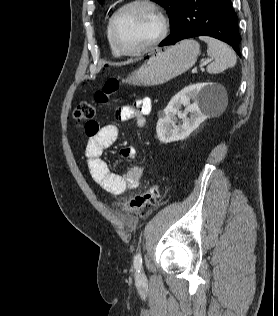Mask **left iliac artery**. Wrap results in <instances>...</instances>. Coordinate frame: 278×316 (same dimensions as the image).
<instances>
[{
    "label": "left iliac artery",
    "instance_id": "44dca946",
    "mask_svg": "<svg viewBox=\"0 0 278 316\" xmlns=\"http://www.w3.org/2000/svg\"><path fill=\"white\" fill-rule=\"evenodd\" d=\"M134 267L138 270V272L142 267V256L140 253H137L134 257Z\"/></svg>",
    "mask_w": 278,
    "mask_h": 316
}]
</instances>
